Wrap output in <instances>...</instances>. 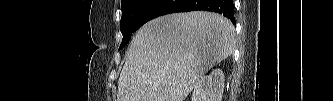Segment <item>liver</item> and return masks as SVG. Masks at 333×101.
<instances>
[{"label":"liver","mask_w":333,"mask_h":101,"mask_svg":"<svg viewBox=\"0 0 333 101\" xmlns=\"http://www.w3.org/2000/svg\"><path fill=\"white\" fill-rule=\"evenodd\" d=\"M234 44V25L217 13L155 18L131 41L117 101H184L208 70L232 54Z\"/></svg>","instance_id":"liver-1"}]
</instances>
